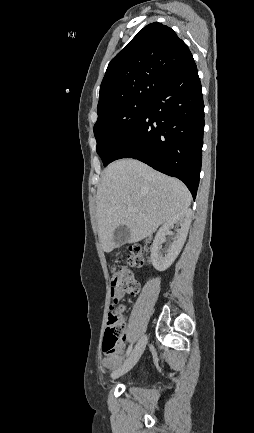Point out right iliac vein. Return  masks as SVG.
Here are the masks:
<instances>
[{"label":"right iliac vein","mask_w":254,"mask_h":433,"mask_svg":"<svg viewBox=\"0 0 254 433\" xmlns=\"http://www.w3.org/2000/svg\"><path fill=\"white\" fill-rule=\"evenodd\" d=\"M146 344H147V337L144 335L138 341L132 353L130 354L128 359L124 362V364L114 370V372L112 373V379L119 378L120 376L124 375L134 367V365L138 362L140 356L142 355Z\"/></svg>","instance_id":"63e3f726"}]
</instances>
